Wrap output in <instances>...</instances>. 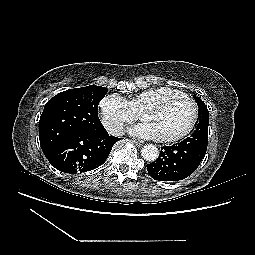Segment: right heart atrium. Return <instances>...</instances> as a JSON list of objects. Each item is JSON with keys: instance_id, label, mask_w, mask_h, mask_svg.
I'll use <instances>...</instances> for the list:
<instances>
[{"instance_id": "1", "label": "right heart atrium", "mask_w": 255, "mask_h": 255, "mask_svg": "<svg viewBox=\"0 0 255 255\" xmlns=\"http://www.w3.org/2000/svg\"><path fill=\"white\" fill-rule=\"evenodd\" d=\"M99 107L104 127L113 134H120L124 125L130 124L138 118V114L128 101L117 94L105 96Z\"/></svg>"}]
</instances>
